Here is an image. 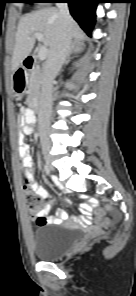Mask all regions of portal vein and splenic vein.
I'll list each match as a JSON object with an SVG mask.
<instances>
[{
	"mask_svg": "<svg viewBox=\"0 0 136 296\" xmlns=\"http://www.w3.org/2000/svg\"><path fill=\"white\" fill-rule=\"evenodd\" d=\"M34 36L38 39L39 42H42L43 41V34L42 33L35 32L34 33ZM47 53H48L47 47L44 46V45L40 46L39 51H38V59L40 61L45 60L46 57H47Z\"/></svg>",
	"mask_w": 136,
	"mask_h": 296,
	"instance_id": "portal-vein-and-splenic-vein-1",
	"label": "portal vein and splenic vein"
}]
</instances>
